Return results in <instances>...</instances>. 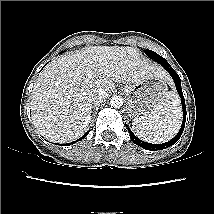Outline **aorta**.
I'll return each mask as SVG.
<instances>
[{
    "mask_svg": "<svg viewBox=\"0 0 214 214\" xmlns=\"http://www.w3.org/2000/svg\"><path fill=\"white\" fill-rule=\"evenodd\" d=\"M110 104L114 108H120L123 105V99L122 97L115 95L111 98Z\"/></svg>",
    "mask_w": 214,
    "mask_h": 214,
    "instance_id": "aorta-1",
    "label": "aorta"
}]
</instances>
